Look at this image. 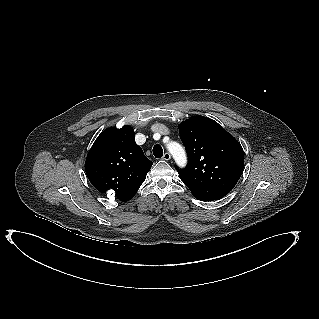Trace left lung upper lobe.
I'll list each match as a JSON object with an SVG mask.
<instances>
[{
  "mask_svg": "<svg viewBox=\"0 0 319 319\" xmlns=\"http://www.w3.org/2000/svg\"><path fill=\"white\" fill-rule=\"evenodd\" d=\"M180 139L188 155L184 169L175 166L193 196L218 200L236 185L243 172L240 143L214 120L194 116L179 125Z\"/></svg>",
  "mask_w": 319,
  "mask_h": 319,
  "instance_id": "5c2ea615",
  "label": "left lung upper lobe"
}]
</instances>
